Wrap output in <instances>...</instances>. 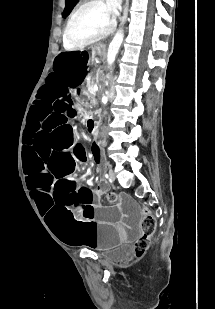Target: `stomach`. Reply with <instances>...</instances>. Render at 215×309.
I'll use <instances>...</instances> for the list:
<instances>
[{
    "mask_svg": "<svg viewBox=\"0 0 215 309\" xmlns=\"http://www.w3.org/2000/svg\"><path fill=\"white\" fill-rule=\"evenodd\" d=\"M96 52H97L99 55L103 54V52H104V47H103L102 45L98 46V47L96 48ZM83 94H84L85 96H87V97L90 96L89 93H88L87 91H85Z\"/></svg>",
    "mask_w": 215,
    "mask_h": 309,
    "instance_id": "stomach-1",
    "label": "stomach"
}]
</instances>
